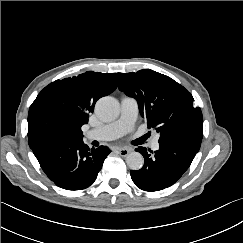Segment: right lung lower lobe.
<instances>
[{"label": "right lung lower lobe", "mask_w": 243, "mask_h": 243, "mask_svg": "<svg viewBox=\"0 0 243 243\" xmlns=\"http://www.w3.org/2000/svg\"><path fill=\"white\" fill-rule=\"evenodd\" d=\"M29 145L48 178L67 190H82L93 184L110 153L105 146L90 149L83 140L56 134L33 137Z\"/></svg>", "instance_id": "right-lung-lower-lobe-1"}]
</instances>
